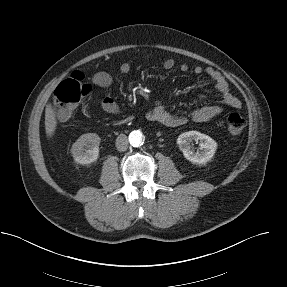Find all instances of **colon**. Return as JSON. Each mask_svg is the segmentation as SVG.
Instances as JSON below:
<instances>
[{"label": "colon", "mask_w": 287, "mask_h": 287, "mask_svg": "<svg viewBox=\"0 0 287 287\" xmlns=\"http://www.w3.org/2000/svg\"><path fill=\"white\" fill-rule=\"evenodd\" d=\"M91 92V87L80 72L72 74L61 82L53 95V104L59 120L69 119L77 104ZM245 119L239 113H230L226 118V129L230 135L240 134L245 127Z\"/></svg>", "instance_id": "obj_1"}]
</instances>
